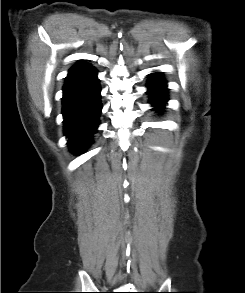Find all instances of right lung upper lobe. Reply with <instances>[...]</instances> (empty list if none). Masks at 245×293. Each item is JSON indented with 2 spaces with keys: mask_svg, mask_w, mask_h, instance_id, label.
<instances>
[{
  "mask_svg": "<svg viewBox=\"0 0 245 293\" xmlns=\"http://www.w3.org/2000/svg\"><path fill=\"white\" fill-rule=\"evenodd\" d=\"M90 68H92L90 65H86L84 62H79L69 70V74L66 79H69L77 74H80Z\"/></svg>",
  "mask_w": 245,
  "mask_h": 293,
  "instance_id": "obj_1",
  "label": "right lung upper lobe"
}]
</instances>
